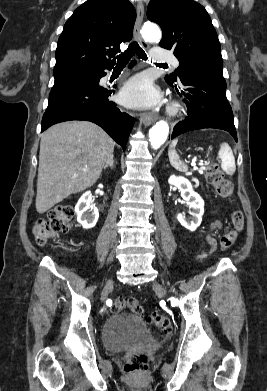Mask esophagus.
I'll return each mask as SVG.
<instances>
[{
  "label": "esophagus",
  "instance_id": "34e87169",
  "mask_svg": "<svg viewBox=\"0 0 267 391\" xmlns=\"http://www.w3.org/2000/svg\"><path fill=\"white\" fill-rule=\"evenodd\" d=\"M137 18H136V22H135V27H134V33H135V37L137 38V40L140 42V44L145 48V49H148V44L142 39L141 37V34H140V29H141V25H142V21H143V17H144V6L142 3H138L137 5ZM141 118L142 120L144 121V123L146 125H150L152 124L153 122H155L157 120V116L156 115H152V114H149V113H143L141 115Z\"/></svg>",
  "mask_w": 267,
  "mask_h": 391
}]
</instances>
